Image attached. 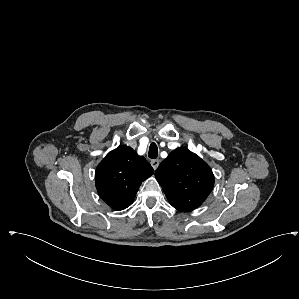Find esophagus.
<instances>
[{
	"instance_id": "1",
	"label": "esophagus",
	"mask_w": 299,
	"mask_h": 299,
	"mask_svg": "<svg viewBox=\"0 0 299 299\" xmlns=\"http://www.w3.org/2000/svg\"><path fill=\"white\" fill-rule=\"evenodd\" d=\"M151 166L153 167L154 170H156L160 164L159 159H153L150 161Z\"/></svg>"
}]
</instances>
